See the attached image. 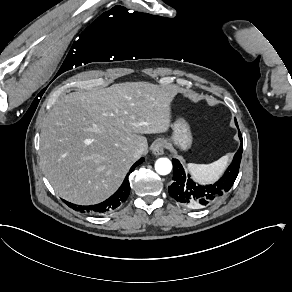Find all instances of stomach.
<instances>
[{
    "mask_svg": "<svg viewBox=\"0 0 292 292\" xmlns=\"http://www.w3.org/2000/svg\"><path fill=\"white\" fill-rule=\"evenodd\" d=\"M173 140L178 146L182 148H188L191 143V136L188 126L182 120H179L174 125Z\"/></svg>",
    "mask_w": 292,
    "mask_h": 292,
    "instance_id": "0dacf381",
    "label": "stomach"
}]
</instances>
